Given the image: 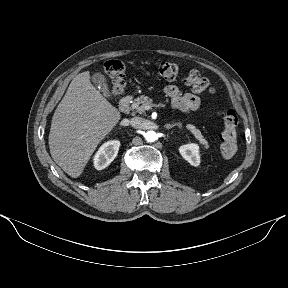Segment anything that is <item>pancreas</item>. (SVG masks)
Masks as SVG:
<instances>
[{"instance_id":"pancreas-1","label":"pancreas","mask_w":288,"mask_h":288,"mask_svg":"<svg viewBox=\"0 0 288 288\" xmlns=\"http://www.w3.org/2000/svg\"><path fill=\"white\" fill-rule=\"evenodd\" d=\"M151 104V99L148 96H140L138 98H135L131 104L132 110H134L137 113H144L147 108L146 106ZM186 128L194 135V137L199 141L200 144L204 145L206 149L209 148L207 140L203 137L200 130H198L194 125L187 124Z\"/></svg>"}]
</instances>
